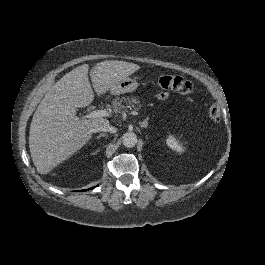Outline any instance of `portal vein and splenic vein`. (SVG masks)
I'll return each instance as SVG.
<instances>
[{"instance_id": "1", "label": "portal vein and splenic vein", "mask_w": 265, "mask_h": 265, "mask_svg": "<svg viewBox=\"0 0 265 265\" xmlns=\"http://www.w3.org/2000/svg\"><path fill=\"white\" fill-rule=\"evenodd\" d=\"M131 116H137L138 112L137 111H131L130 112ZM109 116V113L106 110H94L88 115H86V118H98V117H107Z\"/></svg>"}]
</instances>
